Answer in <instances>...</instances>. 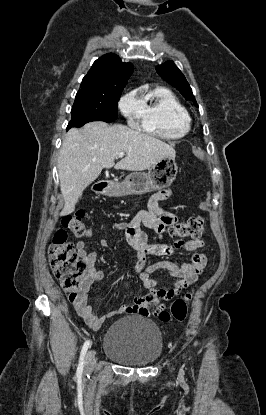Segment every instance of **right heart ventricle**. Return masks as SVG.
<instances>
[{
  "label": "right heart ventricle",
  "mask_w": 266,
  "mask_h": 415,
  "mask_svg": "<svg viewBox=\"0 0 266 415\" xmlns=\"http://www.w3.org/2000/svg\"><path fill=\"white\" fill-rule=\"evenodd\" d=\"M142 128L165 139H178L190 130V116L178 97L169 89L158 87L141 98Z\"/></svg>",
  "instance_id": "obj_1"
}]
</instances>
